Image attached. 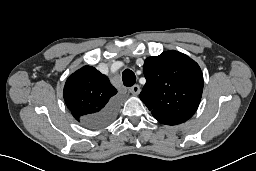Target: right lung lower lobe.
<instances>
[{"label": "right lung lower lobe", "instance_id": "98d812e1", "mask_svg": "<svg viewBox=\"0 0 256 171\" xmlns=\"http://www.w3.org/2000/svg\"><path fill=\"white\" fill-rule=\"evenodd\" d=\"M117 112V102L112 101L105 109L102 111L86 118L85 123L89 127H102L115 118Z\"/></svg>", "mask_w": 256, "mask_h": 171}]
</instances>
